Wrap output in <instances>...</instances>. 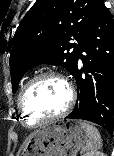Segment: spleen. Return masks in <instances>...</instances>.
<instances>
[{"label": "spleen", "mask_w": 114, "mask_h": 156, "mask_svg": "<svg viewBox=\"0 0 114 156\" xmlns=\"http://www.w3.org/2000/svg\"><path fill=\"white\" fill-rule=\"evenodd\" d=\"M82 126L88 136V140L86 142V146L83 148V151L95 152L101 149L102 139L99 131L87 122H82Z\"/></svg>", "instance_id": "obj_1"}]
</instances>
